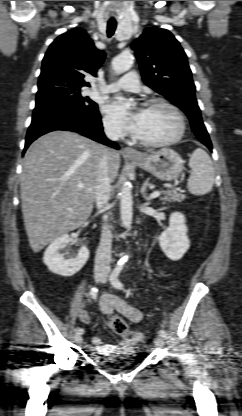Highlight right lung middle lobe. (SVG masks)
<instances>
[{
    "label": "right lung middle lobe",
    "instance_id": "right-lung-middle-lobe-1",
    "mask_svg": "<svg viewBox=\"0 0 242 416\" xmlns=\"http://www.w3.org/2000/svg\"><path fill=\"white\" fill-rule=\"evenodd\" d=\"M82 89L62 88L53 93L36 97V106L34 111L48 106L65 107L82 114L97 110V104L89 97L81 94Z\"/></svg>",
    "mask_w": 242,
    "mask_h": 416
}]
</instances>
